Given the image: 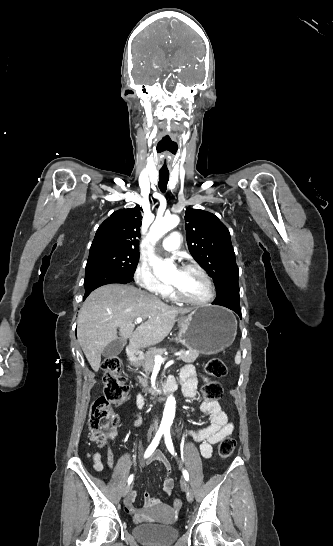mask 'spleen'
Returning <instances> with one entry per match:
<instances>
[{
	"label": "spleen",
	"mask_w": 333,
	"mask_h": 546,
	"mask_svg": "<svg viewBox=\"0 0 333 546\" xmlns=\"http://www.w3.org/2000/svg\"><path fill=\"white\" fill-rule=\"evenodd\" d=\"M240 362H241V355H240V352H237L235 356V363L240 364Z\"/></svg>",
	"instance_id": "obj_1"
}]
</instances>
